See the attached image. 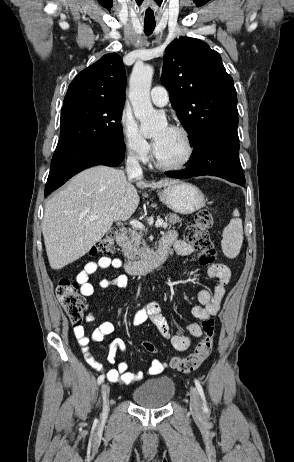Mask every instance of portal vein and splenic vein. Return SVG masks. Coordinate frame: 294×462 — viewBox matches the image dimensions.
Instances as JSON below:
<instances>
[{
    "label": "portal vein and splenic vein",
    "instance_id": "1",
    "mask_svg": "<svg viewBox=\"0 0 294 462\" xmlns=\"http://www.w3.org/2000/svg\"><path fill=\"white\" fill-rule=\"evenodd\" d=\"M96 218H98V216H93V217H91V220H94V219H96ZM130 225L133 226L134 228H137V229H141V230H144V229H145L144 225H143L140 221H138V220H131V221H130ZM162 225H164V222H163L162 219H158V220L155 222V226H156V227H160V226H162Z\"/></svg>",
    "mask_w": 294,
    "mask_h": 462
}]
</instances>
